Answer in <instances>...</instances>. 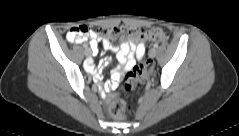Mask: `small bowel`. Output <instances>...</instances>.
<instances>
[{"label": "small bowel", "instance_id": "small-bowel-1", "mask_svg": "<svg viewBox=\"0 0 239 136\" xmlns=\"http://www.w3.org/2000/svg\"><path fill=\"white\" fill-rule=\"evenodd\" d=\"M67 38L71 42L84 41V39L76 41L71 40L69 39L68 34ZM89 38L91 40L90 45H92L94 51L98 53L97 45L98 42L101 40V38L93 31L89 34ZM102 44L105 50L116 53V59L122 65L123 70L131 69L134 66L136 60L139 59L144 54L145 51V45L143 42L135 43L133 41H124L119 46H117L111 44L107 39H102ZM110 63H111L110 59L103 60L101 63V69L107 67ZM87 69L90 70L89 65H87ZM119 79L120 73L119 72L113 73L111 79L107 83H105L103 87L104 91L106 93H111L112 91H114L118 86ZM107 99L110 100L109 97Z\"/></svg>", "mask_w": 239, "mask_h": 136}]
</instances>
